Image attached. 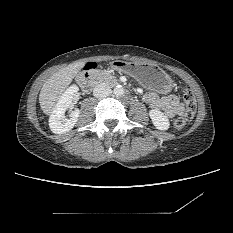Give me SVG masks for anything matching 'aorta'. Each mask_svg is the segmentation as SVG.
I'll return each instance as SVG.
<instances>
[{
    "label": "aorta",
    "instance_id": "762f6f07",
    "mask_svg": "<svg viewBox=\"0 0 233 233\" xmlns=\"http://www.w3.org/2000/svg\"><path fill=\"white\" fill-rule=\"evenodd\" d=\"M124 88L121 85H118L114 88V94L116 96H122L124 94Z\"/></svg>",
    "mask_w": 233,
    "mask_h": 233
}]
</instances>
